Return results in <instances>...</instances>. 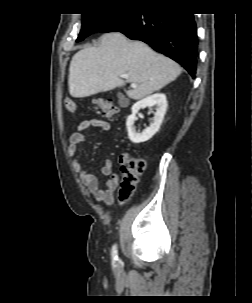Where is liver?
I'll return each mask as SVG.
<instances>
[{
    "label": "liver",
    "instance_id": "1",
    "mask_svg": "<svg viewBox=\"0 0 252 303\" xmlns=\"http://www.w3.org/2000/svg\"><path fill=\"white\" fill-rule=\"evenodd\" d=\"M181 67L173 60L154 52L145 43L129 41L119 32L101 37L98 47H85L70 62L68 86L75 98L123 87L125 83L137 87L125 90L134 99H142L174 81ZM128 75L123 80L121 75Z\"/></svg>",
    "mask_w": 252,
    "mask_h": 303
}]
</instances>
